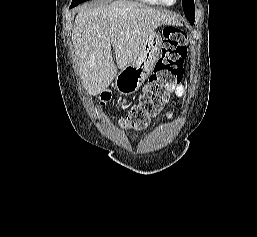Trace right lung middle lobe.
<instances>
[{"mask_svg": "<svg viewBox=\"0 0 257 237\" xmlns=\"http://www.w3.org/2000/svg\"><path fill=\"white\" fill-rule=\"evenodd\" d=\"M85 1H87V0H72L70 8H73V7L77 6L78 4L85 2Z\"/></svg>", "mask_w": 257, "mask_h": 237, "instance_id": "1", "label": "right lung middle lobe"}]
</instances>
